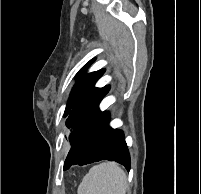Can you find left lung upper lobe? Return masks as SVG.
<instances>
[{"instance_id": "1", "label": "left lung upper lobe", "mask_w": 201, "mask_h": 194, "mask_svg": "<svg viewBox=\"0 0 201 194\" xmlns=\"http://www.w3.org/2000/svg\"><path fill=\"white\" fill-rule=\"evenodd\" d=\"M94 62L91 60L80 71L78 81L74 85L68 103L66 105L65 116H68L66 125L75 133L96 113L99 112V103L108 93L110 86L95 88L97 80L103 75L104 69L85 74L86 69Z\"/></svg>"}]
</instances>
